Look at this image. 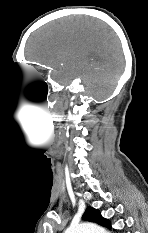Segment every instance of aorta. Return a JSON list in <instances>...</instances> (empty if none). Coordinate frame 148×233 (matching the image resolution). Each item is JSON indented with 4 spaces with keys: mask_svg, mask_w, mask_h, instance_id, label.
<instances>
[{
    "mask_svg": "<svg viewBox=\"0 0 148 233\" xmlns=\"http://www.w3.org/2000/svg\"><path fill=\"white\" fill-rule=\"evenodd\" d=\"M65 233H108V231L93 223H81L77 225H71Z\"/></svg>",
    "mask_w": 148,
    "mask_h": 233,
    "instance_id": "obj_1",
    "label": "aorta"
}]
</instances>
